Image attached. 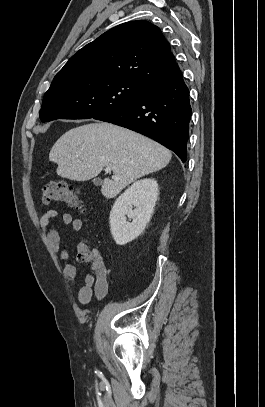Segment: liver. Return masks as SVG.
<instances>
[{
	"mask_svg": "<svg viewBox=\"0 0 265 407\" xmlns=\"http://www.w3.org/2000/svg\"><path fill=\"white\" fill-rule=\"evenodd\" d=\"M171 157L156 141L106 122L70 129L49 153V160L58 165L57 175L69 180L87 181L110 167L112 179L105 178L101 187L108 199L135 180L163 169Z\"/></svg>",
	"mask_w": 265,
	"mask_h": 407,
	"instance_id": "6515ba94",
	"label": "liver"
}]
</instances>
